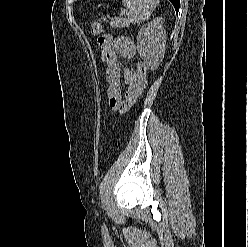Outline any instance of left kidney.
<instances>
[{"instance_id":"5707ae66","label":"left kidney","mask_w":248,"mask_h":247,"mask_svg":"<svg viewBox=\"0 0 248 247\" xmlns=\"http://www.w3.org/2000/svg\"><path fill=\"white\" fill-rule=\"evenodd\" d=\"M166 39L163 19L160 17L140 28L137 37V50L150 70H156L163 60Z\"/></svg>"}]
</instances>
